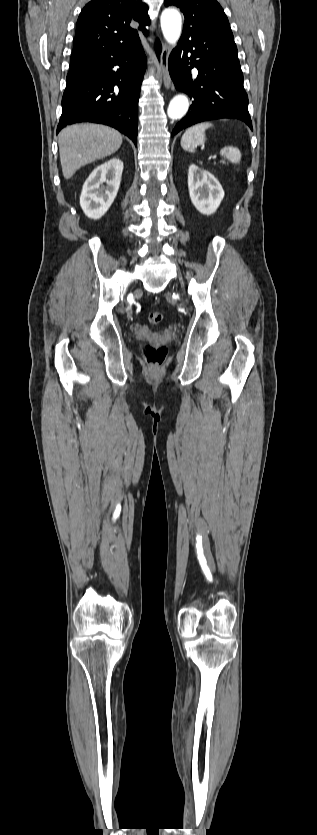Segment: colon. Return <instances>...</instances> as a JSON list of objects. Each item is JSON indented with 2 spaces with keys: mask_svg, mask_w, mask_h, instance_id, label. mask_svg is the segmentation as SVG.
I'll return each instance as SVG.
<instances>
[{
  "mask_svg": "<svg viewBox=\"0 0 317 835\" xmlns=\"http://www.w3.org/2000/svg\"><path fill=\"white\" fill-rule=\"evenodd\" d=\"M162 314L160 312H152L148 316L151 324H158L162 321ZM142 353L150 366H160L166 357L167 349L164 345H153L146 343L142 347Z\"/></svg>",
  "mask_w": 317,
  "mask_h": 835,
  "instance_id": "1",
  "label": "colon"
}]
</instances>
